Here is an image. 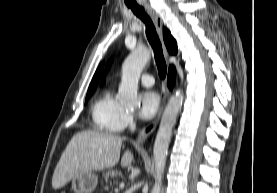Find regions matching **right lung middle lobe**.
<instances>
[{
  "label": "right lung middle lobe",
  "mask_w": 277,
  "mask_h": 193,
  "mask_svg": "<svg viewBox=\"0 0 277 193\" xmlns=\"http://www.w3.org/2000/svg\"><path fill=\"white\" fill-rule=\"evenodd\" d=\"M91 95H92V93L87 94L85 103H87V101H88V99H89V97H90Z\"/></svg>",
  "instance_id": "obj_1"
}]
</instances>
